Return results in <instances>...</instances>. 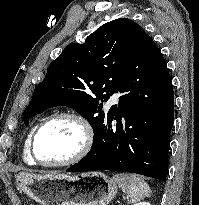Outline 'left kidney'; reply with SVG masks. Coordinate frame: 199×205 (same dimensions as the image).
I'll use <instances>...</instances> for the list:
<instances>
[{"label": "left kidney", "instance_id": "5707ae66", "mask_svg": "<svg viewBox=\"0 0 199 205\" xmlns=\"http://www.w3.org/2000/svg\"><path fill=\"white\" fill-rule=\"evenodd\" d=\"M133 205H151L149 202H139Z\"/></svg>", "mask_w": 199, "mask_h": 205}]
</instances>
